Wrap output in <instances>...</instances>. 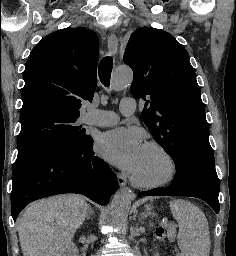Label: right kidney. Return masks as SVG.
<instances>
[{"instance_id": "right-kidney-1", "label": "right kidney", "mask_w": 236, "mask_h": 256, "mask_svg": "<svg viewBox=\"0 0 236 256\" xmlns=\"http://www.w3.org/2000/svg\"><path fill=\"white\" fill-rule=\"evenodd\" d=\"M69 254L70 256H76L77 248H74V246H71V248H69Z\"/></svg>"}]
</instances>
